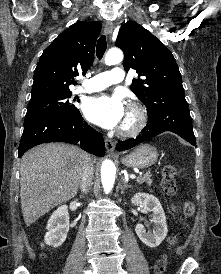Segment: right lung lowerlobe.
I'll return each mask as SVG.
<instances>
[{"label":"right lung lower lobe","instance_id":"98d812e1","mask_svg":"<svg viewBox=\"0 0 221 274\" xmlns=\"http://www.w3.org/2000/svg\"><path fill=\"white\" fill-rule=\"evenodd\" d=\"M53 141L80 144L83 150L97 156L105 154L102 134L83 121L81 115L74 118L55 114L24 122L18 157L34 146Z\"/></svg>","mask_w":221,"mask_h":274}]
</instances>
